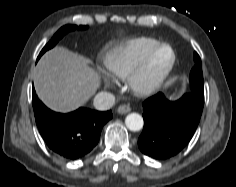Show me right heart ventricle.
I'll list each match as a JSON object with an SVG mask.
<instances>
[{"mask_svg":"<svg viewBox=\"0 0 236 187\" xmlns=\"http://www.w3.org/2000/svg\"><path fill=\"white\" fill-rule=\"evenodd\" d=\"M159 43V40L145 36L123 41L104 54V66L110 74L126 79L144 56Z\"/></svg>","mask_w":236,"mask_h":187,"instance_id":"1","label":"right heart ventricle"}]
</instances>
